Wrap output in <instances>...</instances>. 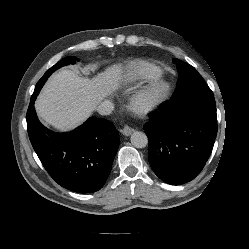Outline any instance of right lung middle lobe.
Masks as SVG:
<instances>
[{
	"mask_svg": "<svg viewBox=\"0 0 249 249\" xmlns=\"http://www.w3.org/2000/svg\"><path fill=\"white\" fill-rule=\"evenodd\" d=\"M76 61H78V59L72 56L65 57L64 59L60 60L44 74V76L37 83L36 87H42L45 81L51 75V73L57 70L58 68L65 66V65L74 64Z\"/></svg>",
	"mask_w": 249,
	"mask_h": 249,
	"instance_id": "right-lung-middle-lobe-1",
	"label": "right lung middle lobe"
}]
</instances>
